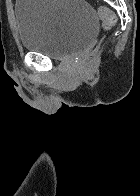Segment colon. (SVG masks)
I'll return each mask as SVG.
<instances>
[{"label": "colon", "instance_id": "colon-1", "mask_svg": "<svg viewBox=\"0 0 140 196\" xmlns=\"http://www.w3.org/2000/svg\"><path fill=\"white\" fill-rule=\"evenodd\" d=\"M97 12H98L99 17L102 21L103 27L106 31L115 25L117 18H116L115 13L112 10H110L106 7H103V6H99L97 8ZM97 51H98V47L91 50L87 54V56L84 59L83 64H82L83 70H86L87 68H89L91 66V64L94 62V60L96 59V56H97Z\"/></svg>", "mask_w": 140, "mask_h": 196}]
</instances>
